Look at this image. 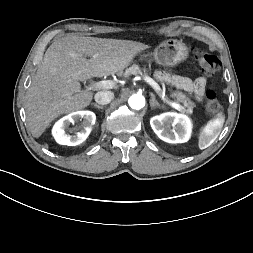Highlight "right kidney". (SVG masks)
Here are the masks:
<instances>
[{"label": "right kidney", "mask_w": 253, "mask_h": 253, "mask_svg": "<svg viewBox=\"0 0 253 253\" xmlns=\"http://www.w3.org/2000/svg\"><path fill=\"white\" fill-rule=\"evenodd\" d=\"M83 120L80 127L77 128L78 132L75 135L68 133L70 123ZM96 116L91 111H77L73 112L60 120H58L52 130V134L61 145L75 146L81 144L86 140L91 132L92 125H94Z\"/></svg>", "instance_id": "ca27d5eb"}]
</instances>
